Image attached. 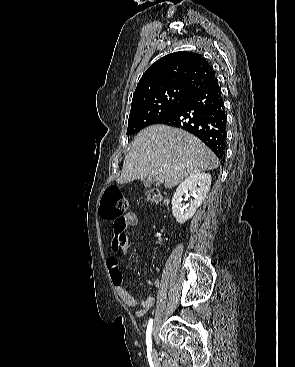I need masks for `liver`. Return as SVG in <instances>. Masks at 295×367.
Here are the masks:
<instances>
[{
    "instance_id": "liver-1",
    "label": "liver",
    "mask_w": 295,
    "mask_h": 367,
    "mask_svg": "<svg viewBox=\"0 0 295 367\" xmlns=\"http://www.w3.org/2000/svg\"><path fill=\"white\" fill-rule=\"evenodd\" d=\"M219 166L216 155L181 129L152 125L141 130L125 156L118 183L154 179L173 188L189 175Z\"/></svg>"
}]
</instances>
